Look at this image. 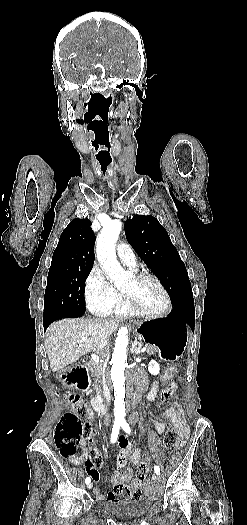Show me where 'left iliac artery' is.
I'll return each instance as SVG.
<instances>
[{
	"label": "left iliac artery",
	"instance_id": "44dca946",
	"mask_svg": "<svg viewBox=\"0 0 247 525\" xmlns=\"http://www.w3.org/2000/svg\"><path fill=\"white\" fill-rule=\"evenodd\" d=\"M121 427L126 433H128V434L131 433V429H130V427H129V425H128V423L126 421H122L121 422ZM154 471H155V473L157 475L160 474V468L157 465L154 466Z\"/></svg>",
	"mask_w": 247,
	"mask_h": 525
}]
</instances>
